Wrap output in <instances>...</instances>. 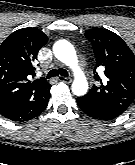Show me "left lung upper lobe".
<instances>
[{
    "label": "left lung upper lobe",
    "mask_w": 135,
    "mask_h": 165,
    "mask_svg": "<svg viewBox=\"0 0 135 165\" xmlns=\"http://www.w3.org/2000/svg\"><path fill=\"white\" fill-rule=\"evenodd\" d=\"M92 43L96 67L103 66L106 81L103 83L94 70V78L101 85H93L83 97L92 99L121 115L135 99V56L127 44L114 32L93 28L85 33Z\"/></svg>",
    "instance_id": "obj_1"
}]
</instances>
